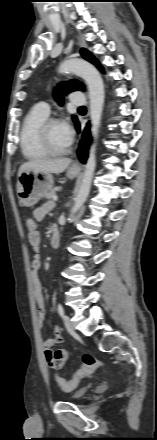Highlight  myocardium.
Wrapping results in <instances>:
<instances>
[{
  "label": "myocardium",
  "instance_id": "myocardium-1",
  "mask_svg": "<svg viewBox=\"0 0 157 440\" xmlns=\"http://www.w3.org/2000/svg\"><path fill=\"white\" fill-rule=\"evenodd\" d=\"M56 123H59V120L54 119V118H47L46 120H44L38 128V132H37L38 141L48 154H50V155H64V154H67L71 150L70 144L66 148L57 149V148H54L50 142L49 128L51 125L56 124Z\"/></svg>",
  "mask_w": 157,
  "mask_h": 440
}]
</instances>
